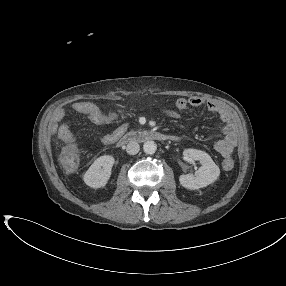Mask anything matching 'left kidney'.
<instances>
[{"label":"left kidney","mask_w":286,"mask_h":286,"mask_svg":"<svg viewBox=\"0 0 286 286\" xmlns=\"http://www.w3.org/2000/svg\"><path fill=\"white\" fill-rule=\"evenodd\" d=\"M185 159L198 160L201 167L195 174H186L179 177L180 184L190 190L204 188L215 182L220 175L219 167L214 163L210 155L197 149H186L183 151Z\"/></svg>","instance_id":"1"}]
</instances>
